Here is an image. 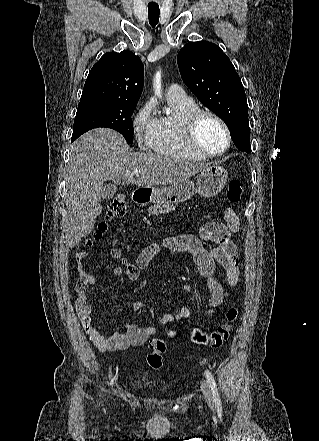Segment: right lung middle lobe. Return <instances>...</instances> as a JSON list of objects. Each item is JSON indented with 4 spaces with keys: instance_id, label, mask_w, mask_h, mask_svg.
Here are the masks:
<instances>
[{
    "instance_id": "dd1d6c3e",
    "label": "right lung middle lobe",
    "mask_w": 319,
    "mask_h": 441,
    "mask_svg": "<svg viewBox=\"0 0 319 441\" xmlns=\"http://www.w3.org/2000/svg\"><path fill=\"white\" fill-rule=\"evenodd\" d=\"M136 103L105 100H80L71 141L83 133L97 127H107L120 132L133 143V123L131 115Z\"/></svg>"
}]
</instances>
